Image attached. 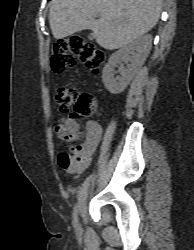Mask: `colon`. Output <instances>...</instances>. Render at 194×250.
Masks as SVG:
<instances>
[{
	"label": "colon",
	"instance_id": "1",
	"mask_svg": "<svg viewBox=\"0 0 194 250\" xmlns=\"http://www.w3.org/2000/svg\"><path fill=\"white\" fill-rule=\"evenodd\" d=\"M77 62L83 63L90 71L97 73L103 62V54L92 42L80 36L65 38L54 44L50 57V68L54 73H63L75 67ZM54 98L60 111L73 109L76 117H86L94 109V102L88 94H80L76 87L62 85L54 93ZM63 150L59 153V165L68 168L75 153Z\"/></svg>",
	"mask_w": 194,
	"mask_h": 250
}]
</instances>
